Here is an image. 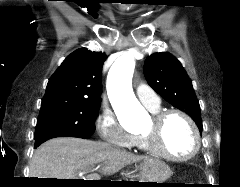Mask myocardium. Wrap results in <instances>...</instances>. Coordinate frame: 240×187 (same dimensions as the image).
I'll use <instances>...</instances> for the list:
<instances>
[{
	"instance_id": "obj_1",
	"label": "myocardium",
	"mask_w": 240,
	"mask_h": 187,
	"mask_svg": "<svg viewBox=\"0 0 240 187\" xmlns=\"http://www.w3.org/2000/svg\"><path fill=\"white\" fill-rule=\"evenodd\" d=\"M170 115H178L182 117L185 120V122L188 124L192 132V135L194 138V145L192 150L186 155H183V156L173 155L166 151H163L158 146L156 129L159 128L161 124L165 121V119ZM152 120H153L155 130L151 133H141V138L144 142L146 151H148L149 153L159 158L176 161V162H183V161L190 160L198 154L201 146L200 132L198 130L197 125L193 121V119L187 113L179 109H168V110L158 111L155 114H153Z\"/></svg>"
}]
</instances>
